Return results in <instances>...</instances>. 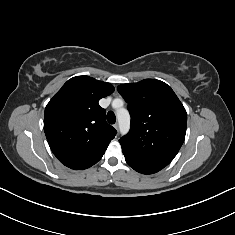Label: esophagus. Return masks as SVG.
I'll return each mask as SVG.
<instances>
[{
    "mask_svg": "<svg viewBox=\"0 0 235 235\" xmlns=\"http://www.w3.org/2000/svg\"><path fill=\"white\" fill-rule=\"evenodd\" d=\"M114 128L118 131V130H119V124H118V123H115V124H114Z\"/></svg>",
    "mask_w": 235,
    "mask_h": 235,
    "instance_id": "1",
    "label": "esophagus"
}]
</instances>
